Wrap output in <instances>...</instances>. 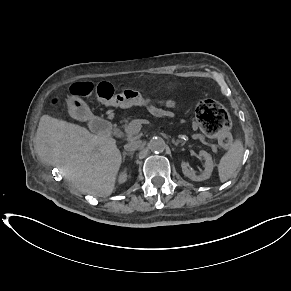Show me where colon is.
<instances>
[{"label": "colon", "mask_w": 291, "mask_h": 291, "mask_svg": "<svg viewBox=\"0 0 291 291\" xmlns=\"http://www.w3.org/2000/svg\"><path fill=\"white\" fill-rule=\"evenodd\" d=\"M70 92L74 96L89 97L94 96L98 101L120 106L145 105L148 99L142 97L135 91L115 86L109 82H101L97 85L92 83H75L70 87ZM55 103L58 100H54ZM155 109L157 111H173L177 107L176 97H167L166 104L157 98ZM196 119L201 130L208 136L218 139L224 148L232 144V136L229 132L231 120L226 109L213 99H204L196 107Z\"/></svg>", "instance_id": "obj_1"}]
</instances>
